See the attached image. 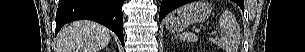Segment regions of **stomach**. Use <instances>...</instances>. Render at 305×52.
Returning <instances> with one entry per match:
<instances>
[{
  "label": "stomach",
  "mask_w": 305,
  "mask_h": 52,
  "mask_svg": "<svg viewBox=\"0 0 305 52\" xmlns=\"http://www.w3.org/2000/svg\"><path fill=\"white\" fill-rule=\"evenodd\" d=\"M211 12L212 9L207 2H192L174 10L165 18L164 23L170 30H182L191 24L205 21Z\"/></svg>",
  "instance_id": "stomach-1"
}]
</instances>
